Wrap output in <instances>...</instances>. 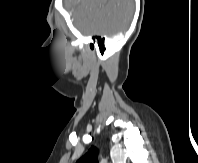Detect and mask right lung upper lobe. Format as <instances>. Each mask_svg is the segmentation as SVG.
Listing matches in <instances>:
<instances>
[{"label": "right lung upper lobe", "mask_w": 198, "mask_h": 163, "mask_svg": "<svg viewBox=\"0 0 198 163\" xmlns=\"http://www.w3.org/2000/svg\"><path fill=\"white\" fill-rule=\"evenodd\" d=\"M76 163H98V149L92 146Z\"/></svg>", "instance_id": "cb5924a9"}]
</instances>
